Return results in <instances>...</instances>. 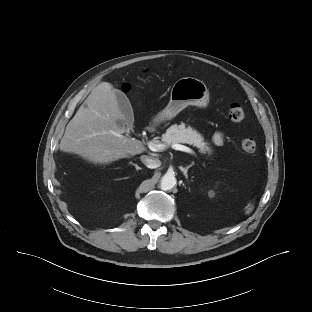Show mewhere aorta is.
Returning a JSON list of instances; mask_svg holds the SVG:
<instances>
[{"label":"aorta","instance_id":"762f6f07","mask_svg":"<svg viewBox=\"0 0 312 312\" xmlns=\"http://www.w3.org/2000/svg\"><path fill=\"white\" fill-rule=\"evenodd\" d=\"M176 178L171 174H165L160 181V188L164 191L171 190L176 185Z\"/></svg>","mask_w":312,"mask_h":312}]
</instances>
